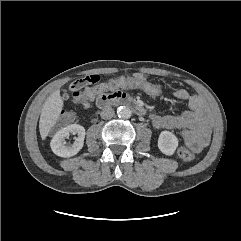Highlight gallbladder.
Here are the masks:
<instances>
[{
    "label": "gallbladder",
    "mask_w": 241,
    "mask_h": 241,
    "mask_svg": "<svg viewBox=\"0 0 241 241\" xmlns=\"http://www.w3.org/2000/svg\"><path fill=\"white\" fill-rule=\"evenodd\" d=\"M68 98H69L68 93H64V94H63V99L67 100Z\"/></svg>",
    "instance_id": "gallbladder-1"
}]
</instances>
